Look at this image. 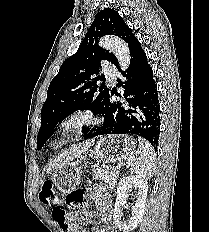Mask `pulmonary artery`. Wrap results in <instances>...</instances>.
Instances as JSON below:
<instances>
[{
  "label": "pulmonary artery",
  "mask_w": 209,
  "mask_h": 232,
  "mask_svg": "<svg viewBox=\"0 0 209 232\" xmlns=\"http://www.w3.org/2000/svg\"><path fill=\"white\" fill-rule=\"evenodd\" d=\"M104 73H105L107 78L114 80L116 78L118 72H117L115 67L109 66L105 69Z\"/></svg>",
  "instance_id": "1"
}]
</instances>
